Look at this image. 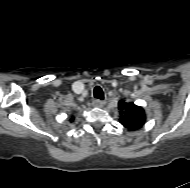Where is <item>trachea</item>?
Returning <instances> with one entry per match:
<instances>
[{
  "label": "trachea",
  "mask_w": 190,
  "mask_h": 188,
  "mask_svg": "<svg viewBox=\"0 0 190 188\" xmlns=\"http://www.w3.org/2000/svg\"><path fill=\"white\" fill-rule=\"evenodd\" d=\"M94 97L96 99H100V100L104 99V93H103V90L100 86H96L94 88Z\"/></svg>",
  "instance_id": "3493384b"
}]
</instances>
